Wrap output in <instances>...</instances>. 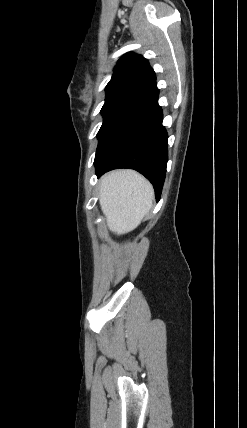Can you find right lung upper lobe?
<instances>
[{"instance_id": "cb5924a9", "label": "right lung upper lobe", "mask_w": 247, "mask_h": 428, "mask_svg": "<svg viewBox=\"0 0 247 428\" xmlns=\"http://www.w3.org/2000/svg\"><path fill=\"white\" fill-rule=\"evenodd\" d=\"M156 84V77L148 61L129 52L118 62L106 86L107 92L128 91L141 94Z\"/></svg>"}]
</instances>
